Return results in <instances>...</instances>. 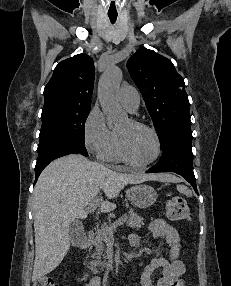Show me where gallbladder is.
<instances>
[{"mask_svg": "<svg viewBox=\"0 0 231 286\" xmlns=\"http://www.w3.org/2000/svg\"><path fill=\"white\" fill-rule=\"evenodd\" d=\"M69 230H71L70 232H72L70 234H83L84 228L80 219H73V221L70 223Z\"/></svg>", "mask_w": 231, "mask_h": 286, "instance_id": "gallbladder-1", "label": "gallbladder"}]
</instances>
